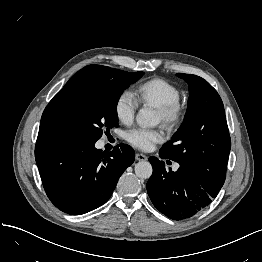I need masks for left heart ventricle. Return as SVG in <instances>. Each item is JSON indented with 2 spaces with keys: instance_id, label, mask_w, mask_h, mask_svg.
<instances>
[{
  "instance_id": "left-heart-ventricle-1",
  "label": "left heart ventricle",
  "mask_w": 262,
  "mask_h": 262,
  "mask_svg": "<svg viewBox=\"0 0 262 262\" xmlns=\"http://www.w3.org/2000/svg\"><path fill=\"white\" fill-rule=\"evenodd\" d=\"M157 119H158V121H160V116H159V114L157 113Z\"/></svg>"
}]
</instances>
